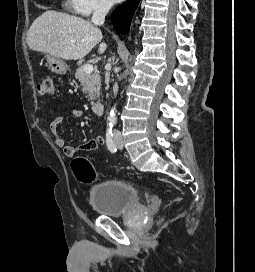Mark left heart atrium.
I'll list each match as a JSON object with an SVG mask.
<instances>
[{"label":"left heart atrium","instance_id":"1","mask_svg":"<svg viewBox=\"0 0 255 272\" xmlns=\"http://www.w3.org/2000/svg\"><path fill=\"white\" fill-rule=\"evenodd\" d=\"M112 2H118V1H121V0H111Z\"/></svg>","mask_w":255,"mask_h":272}]
</instances>
